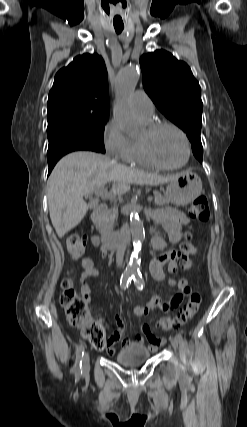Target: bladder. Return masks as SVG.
<instances>
[{"label": "bladder", "mask_w": 247, "mask_h": 427, "mask_svg": "<svg viewBox=\"0 0 247 427\" xmlns=\"http://www.w3.org/2000/svg\"><path fill=\"white\" fill-rule=\"evenodd\" d=\"M150 351L141 345H132L118 352L116 361L126 367L139 365L149 359Z\"/></svg>", "instance_id": "1"}]
</instances>
